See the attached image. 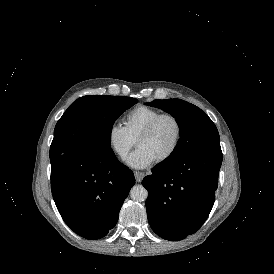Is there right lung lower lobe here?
Returning a JSON list of instances; mask_svg holds the SVG:
<instances>
[{
  "label": "right lung lower lobe",
  "mask_w": 274,
  "mask_h": 274,
  "mask_svg": "<svg viewBox=\"0 0 274 274\" xmlns=\"http://www.w3.org/2000/svg\"><path fill=\"white\" fill-rule=\"evenodd\" d=\"M135 184L112 150L64 154L51 163V190L65 223L87 239L104 237L118 221Z\"/></svg>",
  "instance_id": "obj_1"
}]
</instances>
